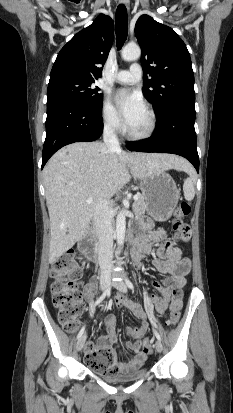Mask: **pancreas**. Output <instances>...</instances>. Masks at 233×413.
<instances>
[{
	"mask_svg": "<svg viewBox=\"0 0 233 413\" xmlns=\"http://www.w3.org/2000/svg\"><path fill=\"white\" fill-rule=\"evenodd\" d=\"M148 211V202L143 195H139L138 200L133 203V212L136 216H140Z\"/></svg>",
	"mask_w": 233,
	"mask_h": 413,
	"instance_id": "cf45deb5",
	"label": "pancreas"
}]
</instances>
